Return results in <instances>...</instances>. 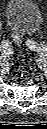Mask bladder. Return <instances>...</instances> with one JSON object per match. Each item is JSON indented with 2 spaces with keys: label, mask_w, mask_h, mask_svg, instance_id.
<instances>
[{
  "label": "bladder",
  "mask_w": 47,
  "mask_h": 129,
  "mask_svg": "<svg viewBox=\"0 0 47 129\" xmlns=\"http://www.w3.org/2000/svg\"><path fill=\"white\" fill-rule=\"evenodd\" d=\"M8 27L20 38L36 34L42 24V15L33 0H10L5 8Z\"/></svg>",
  "instance_id": "31cf9c89"
}]
</instances>
